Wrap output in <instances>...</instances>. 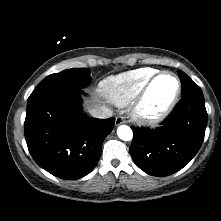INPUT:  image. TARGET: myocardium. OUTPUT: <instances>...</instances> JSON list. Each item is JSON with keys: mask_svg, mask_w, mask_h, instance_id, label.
I'll return each instance as SVG.
<instances>
[{"mask_svg": "<svg viewBox=\"0 0 221 221\" xmlns=\"http://www.w3.org/2000/svg\"><path fill=\"white\" fill-rule=\"evenodd\" d=\"M171 76L176 81V91L171 100L158 111H149L146 108L149 92L155 81L161 76ZM181 94V81L178 76L171 71H158L152 75L142 87L130 106V114L134 121L145 125H155L164 120L174 109Z\"/></svg>", "mask_w": 221, "mask_h": 221, "instance_id": "obj_1", "label": "myocardium"}]
</instances>
